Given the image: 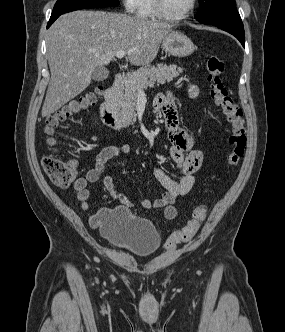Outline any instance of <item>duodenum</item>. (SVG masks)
I'll list each match as a JSON object with an SVG mask.
<instances>
[{
  "instance_id": "duodenum-1",
  "label": "duodenum",
  "mask_w": 285,
  "mask_h": 332,
  "mask_svg": "<svg viewBox=\"0 0 285 332\" xmlns=\"http://www.w3.org/2000/svg\"><path fill=\"white\" fill-rule=\"evenodd\" d=\"M125 76L117 74L112 85L105 90L104 101L100 107V114L105 125L114 130H121L123 124L117 111V99L124 86Z\"/></svg>"
}]
</instances>
